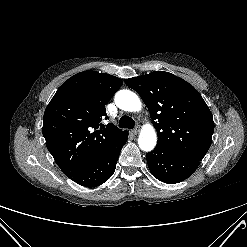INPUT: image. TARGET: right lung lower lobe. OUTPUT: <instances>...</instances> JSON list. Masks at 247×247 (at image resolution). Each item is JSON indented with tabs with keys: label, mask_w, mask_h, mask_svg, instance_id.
Instances as JSON below:
<instances>
[{
	"label": "right lung lower lobe",
	"mask_w": 247,
	"mask_h": 247,
	"mask_svg": "<svg viewBox=\"0 0 247 247\" xmlns=\"http://www.w3.org/2000/svg\"><path fill=\"white\" fill-rule=\"evenodd\" d=\"M127 137L128 132L71 179L86 187H95L106 182L115 171L120 151Z\"/></svg>",
	"instance_id": "obj_1"
}]
</instances>
